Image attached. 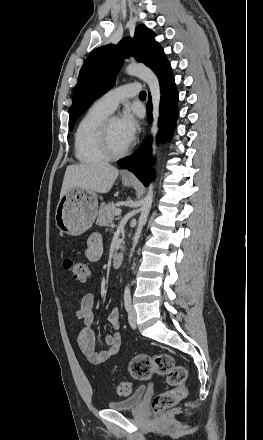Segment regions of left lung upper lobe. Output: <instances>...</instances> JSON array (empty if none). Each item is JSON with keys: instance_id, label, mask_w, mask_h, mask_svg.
Returning <instances> with one entry per match:
<instances>
[{"instance_id": "left-lung-upper-lobe-1", "label": "left lung upper lobe", "mask_w": 263, "mask_h": 440, "mask_svg": "<svg viewBox=\"0 0 263 440\" xmlns=\"http://www.w3.org/2000/svg\"><path fill=\"white\" fill-rule=\"evenodd\" d=\"M129 55H134L154 72L168 63L162 47L155 41V33L143 24L136 27L133 40L125 38L117 46L105 45L94 50L85 60L74 89L70 130L92 101L113 86L122 59Z\"/></svg>"}]
</instances>
